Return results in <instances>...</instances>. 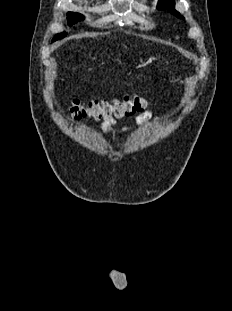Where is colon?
I'll list each match as a JSON object with an SVG mask.
<instances>
[{"instance_id":"5ec220e1","label":"colon","mask_w":232,"mask_h":311,"mask_svg":"<svg viewBox=\"0 0 232 311\" xmlns=\"http://www.w3.org/2000/svg\"><path fill=\"white\" fill-rule=\"evenodd\" d=\"M146 100L139 95H126L114 101L93 100L82 104L74 100L69 108L72 118L80 120L86 117L94 120L111 121L132 116L146 107Z\"/></svg>"}]
</instances>
